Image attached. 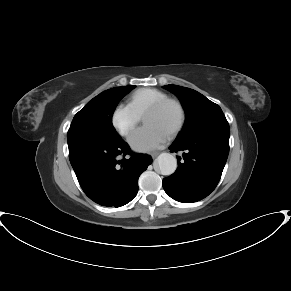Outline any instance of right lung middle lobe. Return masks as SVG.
I'll return each mask as SVG.
<instances>
[{"instance_id":"right-lung-middle-lobe-1","label":"right lung middle lobe","mask_w":291,"mask_h":291,"mask_svg":"<svg viewBox=\"0 0 291 291\" xmlns=\"http://www.w3.org/2000/svg\"><path fill=\"white\" fill-rule=\"evenodd\" d=\"M135 86L115 87L90 100L73 118L67 138H92L116 141L121 137L112 125V115L119 101Z\"/></svg>"}]
</instances>
